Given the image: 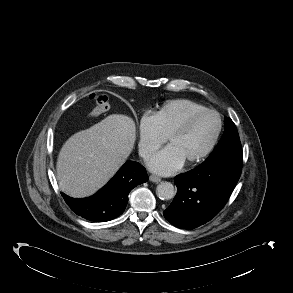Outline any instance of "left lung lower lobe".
Segmentation results:
<instances>
[{"mask_svg":"<svg viewBox=\"0 0 293 293\" xmlns=\"http://www.w3.org/2000/svg\"><path fill=\"white\" fill-rule=\"evenodd\" d=\"M242 171V148L226 150L219 161L200 164L174 178L178 192L164 217L174 226L196 228L224 207Z\"/></svg>","mask_w":293,"mask_h":293,"instance_id":"0a47b994","label":"left lung lower lobe"}]
</instances>
